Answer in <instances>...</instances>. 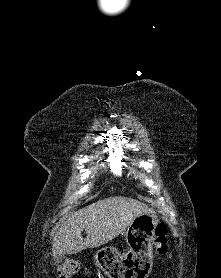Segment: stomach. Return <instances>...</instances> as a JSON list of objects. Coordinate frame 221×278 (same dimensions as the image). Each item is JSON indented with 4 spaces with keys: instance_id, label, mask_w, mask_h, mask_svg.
I'll return each instance as SVG.
<instances>
[{
    "instance_id": "obj_1",
    "label": "stomach",
    "mask_w": 221,
    "mask_h": 278,
    "mask_svg": "<svg viewBox=\"0 0 221 278\" xmlns=\"http://www.w3.org/2000/svg\"><path fill=\"white\" fill-rule=\"evenodd\" d=\"M159 221L155 214H142L133 219L125 232L129 254L105 247L95 254L99 268L109 278H147L153 272L152 244Z\"/></svg>"
}]
</instances>
